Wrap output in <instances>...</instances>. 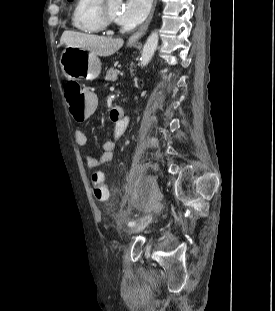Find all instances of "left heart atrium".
Here are the masks:
<instances>
[{
  "label": "left heart atrium",
  "instance_id": "1",
  "mask_svg": "<svg viewBox=\"0 0 275 311\" xmlns=\"http://www.w3.org/2000/svg\"><path fill=\"white\" fill-rule=\"evenodd\" d=\"M150 5L151 0H126L116 20L127 28H133L144 21Z\"/></svg>",
  "mask_w": 275,
  "mask_h": 311
}]
</instances>
